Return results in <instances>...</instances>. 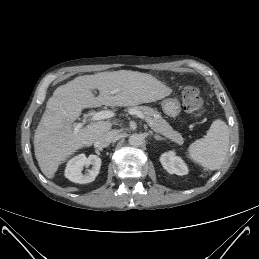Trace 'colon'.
I'll list each match as a JSON object with an SVG mask.
<instances>
[{"label": "colon", "instance_id": "5ec220e1", "mask_svg": "<svg viewBox=\"0 0 259 259\" xmlns=\"http://www.w3.org/2000/svg\"><path fill=\"white\" fill-rule=\"evenodd\" d=\"M184 110L196 118L202 117L205 112L200 90L194 86H187L182 92Z\"/></svg>", "mask_w": 259, "mask_h": 259}]
</instances>
